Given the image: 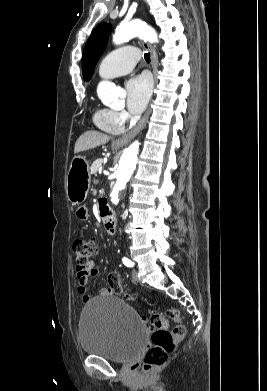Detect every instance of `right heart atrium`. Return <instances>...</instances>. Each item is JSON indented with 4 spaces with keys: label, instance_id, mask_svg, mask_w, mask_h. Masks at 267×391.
I'll list each match as a JSON object with an SVG mask.
<instances>
[{
    "label": "right heart atrium",
    "instance_id": "1",
    "mask_svg": "<svg viewBox=\"0 0 267 391\" xmlns=\"http://www.w3.org/2000/svg\"><path fill=\"white\" fill-rule=\"evenodd\" d=\"M114 116L118 122L123 124L127 120V113L125 111H114Z\"/></svg>",
    "mask_w": 267,
    "mask_h": 391
}]
</instances>
